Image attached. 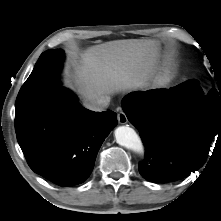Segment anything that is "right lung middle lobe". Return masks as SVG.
I'll list each match as a JSON object with an SVG mask.
<instances>
[{
    "label": "right lung middle lobe",
    "instance_id": "right-lung-middle-lobe-1",
    "mask_svg": "<svg viewBox=\"0 0 221 221\" xmlns=\"http://www.w3.org/2000/svg\"><path fill=\"white\" fill-rule=\"evenodd\" d=\"M62 50H47L39 57L32 73L51 75L54 81L58 80V72L63 59ZM59 81V80H58ZM51 82V84H53ZM40 85L39 89H31L18 94L16 100L15 126H21L31 119L43 105L44 95L50 88V83Z\"/></svg>",
    "mask_w": 221,
    "mask_h": 221
}]
</instances>
